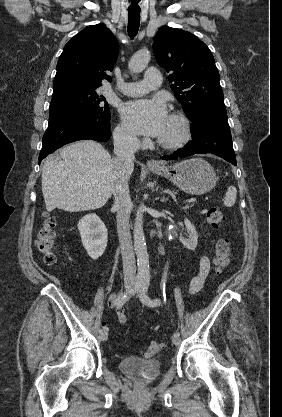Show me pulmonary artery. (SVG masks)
Returning a JSON list of instances; mask_svg holds the SVG:
<instances>
[{
	"mask_svg": "<svg viewBox=\"0 0 282 417\" xmlns=\"http://www.w3.org/2000/svg\"><path fill=\"white\" fill-rule=\"evenodd\" d=\"M160 80V70H145L144 77L142 80L134 83H126L122 87H120V90L128 96H140L152 89L157 88L160 85Z\"/></svg>",
	"mask_w": 282,
	"mask_h": 417,
	"instance_id": "obj_1",
	"label": "pulmonary artery"
}]
</instances>
